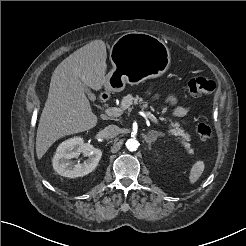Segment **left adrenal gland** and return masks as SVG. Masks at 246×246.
Instances as JSON below:
<instances>
[{
	"label": "left adrenal gland",
	"instance_id": "1",
	"mask_svg": "<svg viewBox=\"0 0 246 246\" xmlns=\"http://www.w3.org/2000/svg\"><path fill=\"white\" fill-rule=\"evenodd\" d=\"M148 136H152L153 138H155L157 136H163V134L161 132L151 130L148 132ZM144 139L149 144V146L151 145V142L154 140V139H149L147 136H145Z\"/></svg>",
	"mask_w": 246,
	"mask_h": 246
}]
</instances>
